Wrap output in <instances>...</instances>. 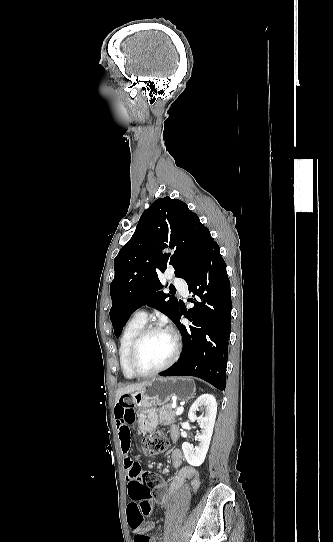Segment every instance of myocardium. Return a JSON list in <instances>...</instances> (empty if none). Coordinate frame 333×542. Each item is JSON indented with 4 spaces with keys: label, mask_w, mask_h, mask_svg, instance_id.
<instances>
[{
    "label": "myocardium",
    "mask_w": 333,
    "mask_h": 542,
    "mask_svg": "<svg viewBox=\"0 0 333 542\" xmlns=\"http://www.w3.org/2000/svg\"><path fill=\"white\" fill-rule=\"evenodd\" d=\"M157 331L167 332L171 336L172 345H173L172 353H171L170 357L167 359V361L165 363H163L157 369H155V370H153L151 372H141L136 368V365H135L136 354L138 352L139 347L143 343V341L150 334H152L154 332H157ZM180 347H181V345H180V340H179L178 335L176 333H174L173 331H171L170 329L164 327L161 324H149V325H146L139 332V334L136 336V338L134 339V341L132 342V344L130 346L129 354H128V367H129V370H130L131 374L133 376H135V377L147 378V377L155 376V375L159 374L160 372L166 370L167 368H169L171 365H173L176 362V360L178 359L179 354H180Z\"/></svg>",
    "instance_id": "f54148a6"
}]
</instances>
